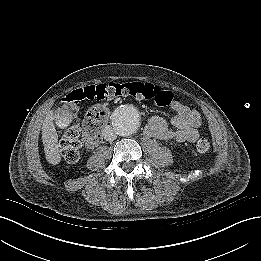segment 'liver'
<instances>
[{
	"label": "liver",
	"mask_w": 261,
	"mask_h": 261,
	"mask_svg": "<svg viewBox=\"0 0 261 261\" xmlns=\"http://www.w3.org/2000/svg\"><path fill=\"white\" fill-rule=\"evenodd\" d=\"M53 120L60 128L67 127L71 121V115L69 112H58L48 111L43 125H42V142L44 145V152L46 160L52 164H59L61 161V153L58 144V134L55 129Z\"/></svg>",
	"instance_id": "6515ba94"
}]
</instances>
